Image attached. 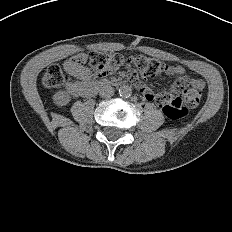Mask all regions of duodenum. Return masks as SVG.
<instances>
[{
    "instance_id": "410a0bca",
    "label": "duodenum",
    "mask_w": 232,
    "mask_h": 232,
    "mask_svg": "<svg viewBox=\"0 0 232 232\" xmlns=\"http://www.w3.org/2000/svg\"><path fill=\"white\" fill-rule=\"evenodd\" d=\"M111 85H113V83L108 80L105 79L97 80L95 82L88 84L87 86L88 94L89 96L93 95L97 90L101 88L109 87Z\"/></svg>"
}]
</instances>
